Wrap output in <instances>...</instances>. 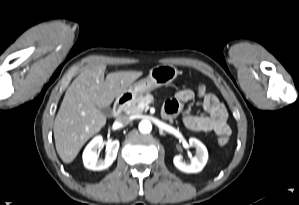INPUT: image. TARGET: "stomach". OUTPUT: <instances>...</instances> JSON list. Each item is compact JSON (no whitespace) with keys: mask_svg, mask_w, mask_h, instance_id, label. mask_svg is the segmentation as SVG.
<instances>
[{"mask_svg":"<svg viewBox=\"0 0 299 205\" xmlns=\"http://www.w3.org/2000/svg\"><path fill=\"white\" fill-rule=\"evenodd\" d=\"M179 71L172 65H157L151 68L149 75L131 85L120 97L134 100L140 95L148 94L152 90L170 84L176 79Z\"/></svg>","mask_w":299,"mask_h":205,"instance_id":"stomach-1","label":"stomach"}]
</instances>
